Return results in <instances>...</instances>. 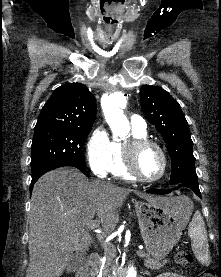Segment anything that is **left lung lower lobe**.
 <instances>
[{
	"mask_svg": "<svg viewBox=\"0 0 221 277\" xmlns=\"http://www.w3.org/2000/svg\"><path fill=\"white\" fill-rule=\"evenodd\" d=\"M181 187H188V188L192 189L199 197H201V193H200L198 184L181 183V184L174 185L173 190L181 188ZM146 192H149L152 194H167V193H170L171 190L150 189V190H147Z\"/></svg>",
	"mask_w": 221,
	"mask_h": 277,
	"instance_id": "1",
	"label": "left lung lower lobe"
}]
</instances>
